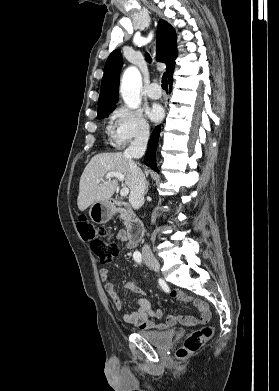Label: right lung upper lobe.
<instances>
[{
	"label": "right lung upper lobe",
	"instance_id": "right-lung-upper-lobe-1",
	"mask_svg": "<svg viewBox=\"0 0 279 391\" xmlns=\"http://www.w3.org/2000/svg\"><path fill=\"white\" fill-rule=\"evenodd\" d=\"M156 39V60L166 64V73L170 82L173 80L175 59L177 57L175 30L166 21L159 20ZM146 58L151 61L148 54H146ZM122 65L123 60L120 51L114 50L109 55L105 64L98 99V113L109 108H114V104L118 100L119 74Z\"/></svg>",
	"mask_w": 279,
	"mask_h": 391
}]
</instances>
